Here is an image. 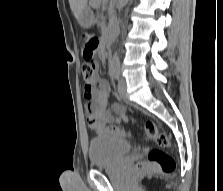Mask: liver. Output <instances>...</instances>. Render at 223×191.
Returning a JSON list of instances; mask_svg holds the SVG:
<instances>
[{
    "label": "liver",
    "instance_id": "obj_1",
    "mask_svg": "<svg viewBox=\"0 0 223 191\" xmlns=\"http://www.w3.org/2000/svg\"><path fill=\"white\" fill-rule=\"evenodd\" d=\"M87 1L88 0H69L70 8L78 21L82 11L87 5Z\"/></svg>",
    "mask_w": 223,
    "mask_h": 191
}]
</instances>
